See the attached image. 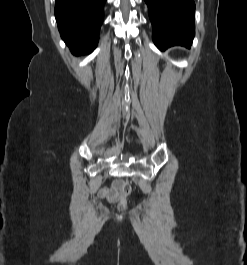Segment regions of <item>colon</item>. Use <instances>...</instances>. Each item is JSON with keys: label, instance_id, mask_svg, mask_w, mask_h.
<instances>
[{"label": "colon", "instance_id": "1", "mask_svg": "<svg viewBox=\"0 0 247 265\" xmlns=\"http://www.w3.org/2000/svg\"><path fill=\"white\" fill-rule=\"evenodd\" d=\"M132 187L129 182L123 181L121 182V196L118 201V208L120 210H123L127 205V199L129 195L131 194Z\"/></svg>", "mask_w": 247, "mask_h": 265}]
</instances>
